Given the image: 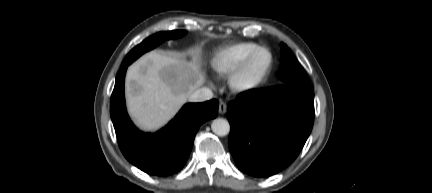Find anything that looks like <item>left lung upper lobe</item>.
I'll use <instances>...</instances> for the list:
<instances>
[{"label": "left lung upper lobe", "mask_w": 432, "mask_h": 193, "mask_svg": "<svg viewBox=\"0 0 432 193\" xmlns=\"http://www.w3.org/2000/svg\"><path fill=\"white\" fill-rule=\"evenodd\" d=\"M281 64L279 68V76L283 84H300L309 85L308 77L291 52V50L281 43ZM254 91V90H249Z\"/></svg>", "instance_id": "1"}]
</instances>
